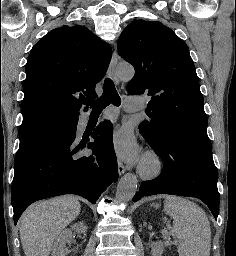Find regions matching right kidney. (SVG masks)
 <instances>
[{
	"instance_id": "1",
	"label": "right kidney",
	"mask_w": 236,
	"mask_h": 256,
	"mask_svg": "<svg viewBox=\"0 0 236 256\" xmlns=\"http://www.w3.org/2000/svg\"><path fill=\"white\" fill-rule=\"evenodd\" d=\"M88 230L87 226L83 222L79 224H73L68 230H63L60 234V238L56 244H54L53 254L54 256H65L67 250L65 248L66 244H70L72 240V232H77V234H85Z\"/></svg>"
}]
</instances>
